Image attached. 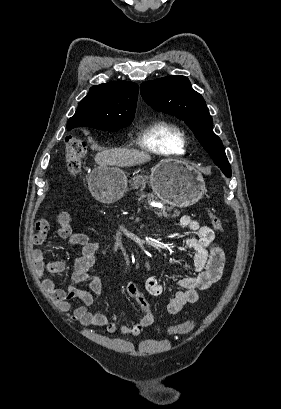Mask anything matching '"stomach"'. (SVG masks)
Wrapping results in <instances>:
<instances>
[{
  "label": "stomach",
  "mask_w": 281,
  "mask_h": 409,
  "mask_svg": "<svg viewBox=\"0 0 281 409\" xmlns=\"http://www.w3.org/2000/svg\"><path fill=\"white\" fill-rule=\"evenodd\" d=\"M128 182H132V188H139L144 182H150L158 198L180 209L195 205L206 192L201 172L185 160L175 158L160 160L151 168L149 176L136 174L133 180H128L125 172L114 164L95 166L88 178L89 190L99 202L119 200L125 194Z\"/></svg>",
  "instance_id": "stomach-1"
}]
</instances>
